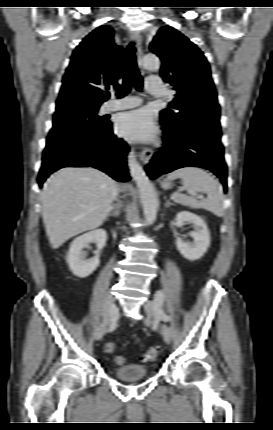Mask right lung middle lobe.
<instances>
[{
    "label": "right lung middle lobe",
    "instance_id": "obj_1",
    "mask_svg": "<svg viewBox=\"0 0 273 430\" xmlns=\"http://www.w3.org/2000/svg\"><path fill=\"white\" fill-rule=\"evenodd\" d=\"M99 106L81 100H71L57 106L46 145L92 136L108 127L110 122L97 116Z\"/></svg>",
    "mask_w": 273,
    "mask_h": 430
}]
</instances>
